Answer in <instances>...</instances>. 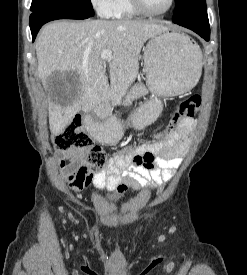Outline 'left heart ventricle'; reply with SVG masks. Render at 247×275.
<instances>
[{
  "label": "left heart ventricle",
  "instance_id": "left-heart-ventricle-1",
  "mask_svg": "<svg viewBox=\"0 0 247 275\" xmlns=\"http://www.w3.org/2000/svg\"><path fill=\"white\" fill-rule=\"evenodd\" d=\"M146 6L152 11H162L169 6L170 0H144Z\"/></svg>",
  "mask_w": 247,
  "mask_h": 275
}]
</instances>
